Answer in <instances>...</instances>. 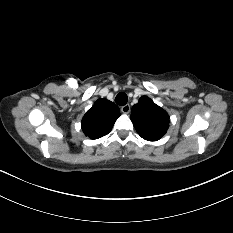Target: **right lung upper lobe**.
I'll list each match as a JSON object with an SVG mask.
<instances>
[{"instance_id": "obj_1", "label": "right lung upper lobe", "mask_w": 233, "mask_h": 233, "mask_svg": "<svg viewBox=\"0 0 233 233\" xmlns=\"http://www.w3.org/2000/svg\"><path fill=\"white\" fill-rule=\"evenodd\" d=\"M120 115V109L115 103L98 99L83 116L82 130L91 139L103 137L111 131Z\"/></svg>"}]
</instances>
